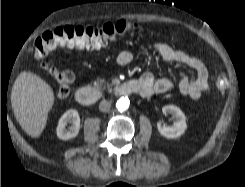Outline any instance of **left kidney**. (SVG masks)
I'll use <instances>...</instances> for the list:
<instances>
[{"mask_svg":"<svg viewBox=\"0 0 245 187\" xmlns=\"http://www.w3.org/2000/svg\"><path fill=\"white\" fill-rule=\"evenodd\" d=\"M164 115L172 114L175 117V122L171 125H162L157 123L159 133L166 138H178L184 134L187 129L186 117L180 108L174 105H166L162 108Z\"/></svg>","mask_w":245,"mask_h":187,"instance_id":"1","label":"left kidney"}]
</instances>
